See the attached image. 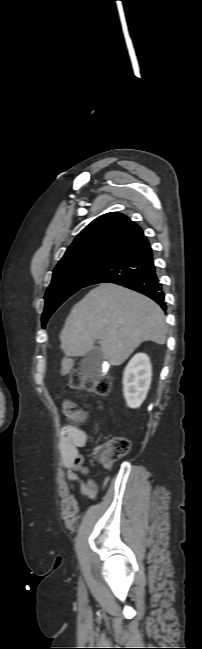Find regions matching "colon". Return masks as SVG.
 Wrapping results in <instances>:
<instances>
[{
    "label": "colon",
    "instance_id": "obj_1",
    "mask_svg": "<svg viewBox=\"0 0 202 649\" xmlns=\"http://www.w3.org/2000/svg\"><path fill=\"white\" fill-rule=\"evenodd\" d=\"M68 387L74 390H84L100 396L109 393L111 379L109 376L89 377L79 371L70 374ZM62 413L65 418L77 423H83L86 419L84 411L78 410L75 403L68 399H61ZM130 449V442L127 438L112 436L105 439L94 448V458L105 468H110L117 460L124 457Z\"/></svg>",
    "mask_w": 202,
    "mask_h": 649
}]
</instances>
